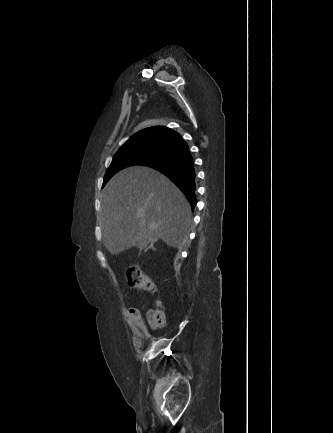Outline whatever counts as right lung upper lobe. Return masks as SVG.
I'll return each mask as SVG.
<instances>
[{
	"instance_id": "cb5924a9",
	"label": "right lung upper lobe",
	"mask_w": 333,
	"mask_h": 433,
	"mask_svg": "<svg viewBox=\"0 0 333 433\" xmlns=\"http://www.w3.org/2000/svg\"><path fill=\"white\" fill-rule=\"evenodd\" d=\"M178 138H181V136L172 129L163 126H155L139 131L133 135L123 146L151 142L153 144H159L165 147L172 140L175 142ZM174 142L170 146H173Z\"/></svg>"
}]
</instances>
